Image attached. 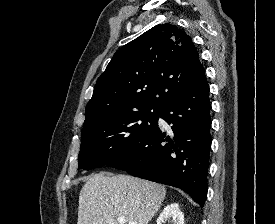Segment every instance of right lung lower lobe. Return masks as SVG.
<instances>
[{"label": "right lung lower lobe", "mask_w": 275, "mask_h": 224, "mask_svg": "<svg viewBox=\"0 0 275 224\" xmlns=\"http://www.w3.org/2000/svg\"><path fill=\"white\" fill-rule=\"evenodd\" d=\"M209 85L204 72L161 112L170 130L158 125L145 140L109 166L132 176L178 187L201 207L207 197L211 147Z\"/></svg>", "instance_id": "obj_1"}]
</instances>
